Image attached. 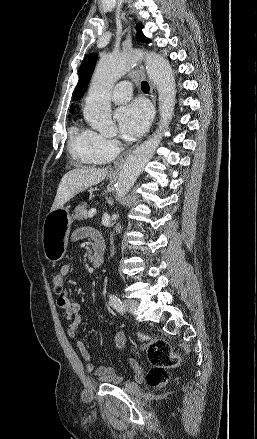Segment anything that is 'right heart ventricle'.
<instances>
[{"mask_svg":"<svg viewBox=\"0 0 257 439\" xmlns=\"http://www.w3.org/2000/svg\"><path fill=\"white\" fill-rule=\"evenodd\" d=\"M69 151L84 165H99L105 162L92 149V132L78 126L71 129Z\"/></svg>","mask_w":257,"mask_h":439,"instance_id":"1","label":"right heart ventricle"}]
</instances>
